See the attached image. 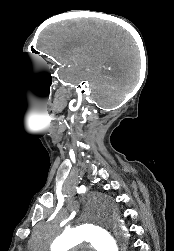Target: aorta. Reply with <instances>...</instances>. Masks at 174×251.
<instances>
[{"label":"aorta","mask_w":174,"mask_h":251,"mask_svg":"<svg viewBox=\"0 0 174 251\" xmlns=\"http://www.w3.org/2000/svg\"><path fill=\"white\" fill-rule=\"evenodd\" d=\"M127 231L121 223L99 213L98 206L89 204L84 222L74 229L62 232L50 246L51 251H68L83 242L89 243L97 251H120L125 243Z\"/></svg>","instance_id":"aorta-1"}]
</instances>
